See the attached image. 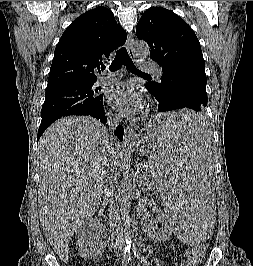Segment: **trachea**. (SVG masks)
Returning <instances> with one entry per match:
<instances>
[{"mask_svg": "<svg viewBox=\"0 0 253 266\" xmlns=\"http://www.w3.org/2000/svg\"><path fill=\"white\" fill-rule=\"evenodd\" d=\"M122 65H125L126 68L132 73L149 76L147 73L141 72L136 68L125 47H121L116 52V56L109 66V70L117 71L121 68ZM105 68V66H102L101 69L104 70Z\"/></svg>", "mask_w": 253, "mask_h": 266, "instance_id": "obj_1", "label": "trachea"}]
</instances>
